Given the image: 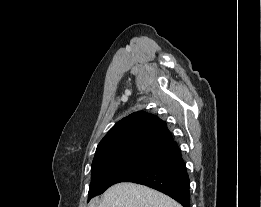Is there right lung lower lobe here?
Here are the masks:
<instances>
[{"mask_svg":"<svg viewBox=\"0 0 261 207\" xmlns=\"http://www.w3.org/2000/svg\"><path fill=\"white\" fill-rule=\"evenodd\" d=\"M125 182L149 186L172 197L183 207H190L189 176L181 153L129 177Z\"/></svg>","mask_w":261,"mask_h":207,"instance_id":"98d812e1","label":"right lung lower lobe"}]
</instances>
